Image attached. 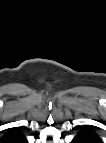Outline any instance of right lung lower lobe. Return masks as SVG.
Wrapping results in <instances>:
<instances>
[{
  "instance_id": "1",
  "label": "right lung lower lobe",
  "mask_w": 106,
  "mask_h": 143,
  "mask_svg": "<svg viewBox=\"0 0 106 143\" xmlns=\"http://www.w3.org/2000/svg\"><path fill=\"white\" fill-rule=\"evenodd\" d=\"M26 142V140L25 139H23L20 143H25Z\"/></svg>"
}]
</instances>
